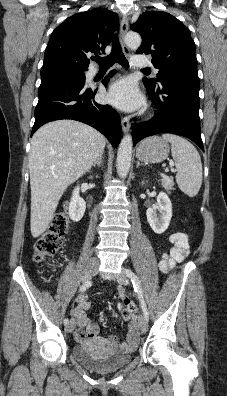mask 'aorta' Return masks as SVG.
I'll list each match as a JSON object with an SVG mask.
<instances>
[{
  "label": "aorta",
  "mask_w": 227,
  "mask_h": 396,
  "mask_svg": "<svg viewBox=\"0 0 227 396\" xmlns=\"http://www.w3.org/2000/svg\"><path fill=\"white\" fill-rule=\"evenodd\" d=\"M124 41L130 48L137 49L141 45V36L136 32L126 34ZM133 141L131 135H125L119 145L117 152V173L121 178L128 175L132 158Z\"/></svg>",
  "instance_id": "1"
}]
</instances>
